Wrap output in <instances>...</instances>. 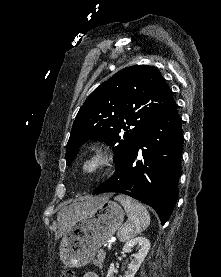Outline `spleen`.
Listing matches in <instances>:
<instances>
[{"instance_id":"1","label":"spleen","mask_w":221,"mask_h":277,"mask_svg":"<svg viewBox=\"0 0 221 277\" xmlns=\"http://www.w3.org/2000/svg\"><path fill=\"white\" fill-rule=\"evenodd\" d=\"M115 200L120 202L128 215V221L118 231V238L125 242L144 231L150 224V215L138 201L124 195H118Z\"/></svg>"}]
</instances>
